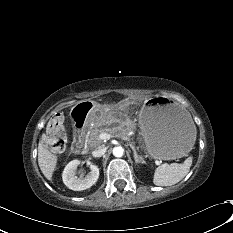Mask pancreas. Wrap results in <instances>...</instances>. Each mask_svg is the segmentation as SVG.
I'll return each mask as SVG.
<instances>
[{
    "label": "pancreas",
    "instance_id": "cf45deb5",
    "mask_svg": "<svg viewBox=\"0 0 233 233\" xmlns=\"http://www.w3.org/2000/svg\"><path fill=\"white\" fill-rule=\"evenodd\" d=\"M111 121L103 119L99 123H95L94 126H91L88 130V143L91 147H97L102 144V140L100 139L101 133H109L115 137H125L128 132L132 131V127L129 126L126 129L122 127H109Z\"/></svg>",
    "mask_w": 233,
    "mask_h": 233
}]
</instances>
